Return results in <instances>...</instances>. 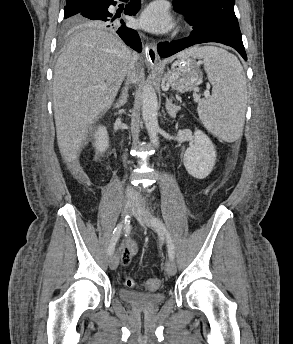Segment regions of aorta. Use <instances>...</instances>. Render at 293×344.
I'll use <instances>...</instances> for the list:
<instances>
[{
  "label": "aorta",
  "mask_w": 293,
  "mask_h": 344,
  "mask_svg": "<svg viewBox=\"0 0 293 344\" xmlns=\"http://www.w3.org/2000/svg\"><path fill=\"white\" fill-rule=\"evenodd\" d=\"M142 116L153 145L159 147L158 100L154 87L146 84L142 89Z\"/></svg>",
  "instance_id": "762f6f07"
}]
</instances>
